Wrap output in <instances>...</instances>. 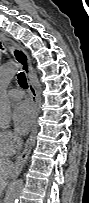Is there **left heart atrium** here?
I'll use <instances>...</instances> for the list:
<instances>
[{
  "label": "left heart atrium",
  "instance_id": "left-heart-atrium-1",
  "mask_svg": "<svg viewBox=\"0 0 89 203\" xmlns=\"http://www.w3.org/2000/svg\"><path fill=\"white\" fill-rule=\"evenodd\" d=\"M35 112L33 106L27 102H21L13 113L16 131L20 135L27 134L34 124Z\"/></svg>",
  "mask_w": 89,
  "mask_h": 203
}]
</instances>
